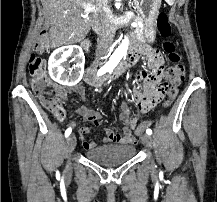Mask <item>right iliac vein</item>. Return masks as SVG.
<instances>
[{"mask_svg": "<svg viewBox=\"0 0 217 202\" xmlns=\"http://www.w3.org/2000/svg\"><path fill=\"white\" fill-rule=\"evenodd\" d=\"M75 147H76V138L74 135H70L66 141V152L68 157L71 156Z\"/></svg>", "mask_w": 217, "mask_h": 202, "instance_id": "obj_1", "label": "right iliac vein"}]
</instances>
